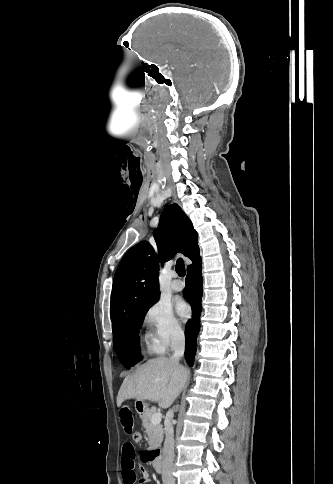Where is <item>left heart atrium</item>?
Masks as SVG:
<instances>
[{"instance_id":"39dd6f15","label":"left heart atrium","mask_w":333,"mask_h":484,"mask_svg":"<svg viewBox=\"0 0 333 484\" xmlns=\"http://www.w3.org/2000/svg\"><path fill=\"white\" fill-rule=\"evenodd\" d=\"M176 311L182 319H186L190 316V306L183 300H178L176 303Z\"/></svg>"}]
</instances>
